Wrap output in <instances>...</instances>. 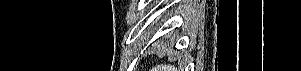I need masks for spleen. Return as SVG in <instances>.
<instances>
[{"label": "spleen", "instance_id": "obj_1", "mask_svg": "<svg viewBox=\"0 0 301 71\" xmlns=\"http://www.w3.org/2000/svg\"><path fill=\"white\" fill-rule=\"evenodd\" d=\"M152 71H177V68L173 65H157Z\"/></svg>", "mask_w": 301, "mask_h": 71}]
</instances>
